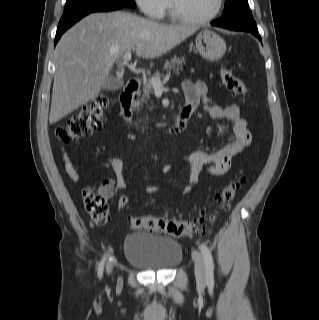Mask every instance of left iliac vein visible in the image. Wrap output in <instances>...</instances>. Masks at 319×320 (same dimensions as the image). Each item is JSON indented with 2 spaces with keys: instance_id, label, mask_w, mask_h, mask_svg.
Listing matches in <instances>:
<instances>
[{
  "instance_id": "obj_1",
  "label": "left iliac vein",
  "mask_w": 319,
  "mask_h": 320,
  "mask_svg": "<svg viewBox=\"0 0 319 320\" xmlns=\"http://www.w3.org/2000/svg\"><path fill=\"white\" fill-rule=\"evenodd\" d=\"M192 257L194 260L196 281L199 285L203 286L206 283V270L204 260L197 250H194L192 252Z\"/></svg>"
}]
</instances>
